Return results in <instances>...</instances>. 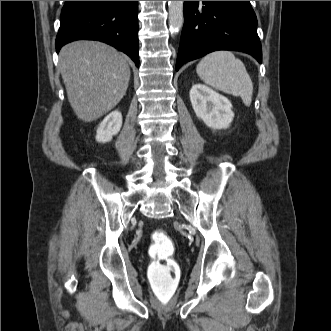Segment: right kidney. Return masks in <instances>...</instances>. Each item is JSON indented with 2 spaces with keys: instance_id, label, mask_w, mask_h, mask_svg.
<instances>
[{
  "instance_id": "obj_1",
  "label": "right kidney",
  "mask_w": 331,
  "mask_h": 331,
  "mask_svg": "<svg viewBox=\"0 0 331 331\" xmlns=\"http://www.w3.org/2000/svg\"><path fill=\"white\" fill-rule=\"evenodd\" d=\"M122 126V115L119 111H113L107 115L97 128L96 140L106 143L112 140Z\"/></svg>"
}]
</instances>
